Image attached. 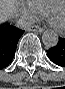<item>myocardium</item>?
I'll use <instances>...</instances> for the list:
<instances>
[{
    "mask_svg": "<svg viewBox=\"0 0 65 89\" xmlns=\"http://www.w3.org/2000/svg\"><path fill=\"white\" fill-rule=\"evenodd\" d=\"M59 5H64L65 4L61 1V0H58V1H54L52 2L48 7H47V15L50 19V21L52 22V14H53V11L55 10L56 7H58ZM53 23V22H52ZM54 24V23H53ZM55 25V24H54ZM55 27L57 28L58 31H63L65 29V26L64 27H59L57 25H55Z\"/></svg>",
    "mask_w": 65,
    "mask_h": 89,
    "instance_id": "obj_1",
    "label": "myocardium"
}]
</instances>
